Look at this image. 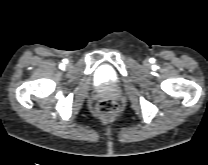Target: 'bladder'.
<instances>
[{
    "label": "bladder",
    "mask_w": 208,
    "mask_h": 165,
    "mask_svg": "<svg viewBox=\"0 0 208 165\" xmlns=\"http://www.w3.org/2000/svg\"><path fill=\"white\" fill-rule=\"evenodd\" d=\"M116 81V75L112 69L109 67L101 68L95 77V82L98 85H106Z\"/></svg>",
    "instance_id": "1"
}]
</instances>
